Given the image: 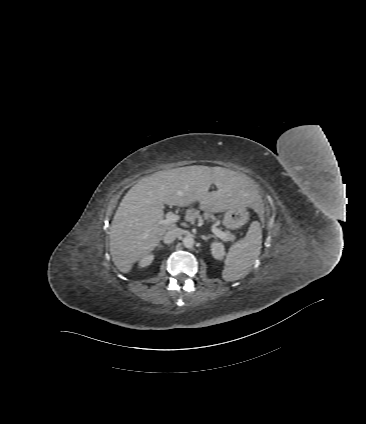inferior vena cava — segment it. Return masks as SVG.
<instances>
[{
    "mask_svg": "<svg viewBox=\"0 0 366 424\" xmlns=\"http://www.w3.org/2000/svg\"><path fill=\"white\" fill-rule=\"evenodd\" d=\"M182 234V230L180 228H173L168 230L163 236V241L165 244H171L174 242L180 235Z\"/></svg>",
    "mask_w": 366,
    "mask_h": 424,
    "instance_id": "obj_1",
    "label": "inferior vena cava"
}]
</instances>
